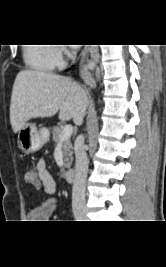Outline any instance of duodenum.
<instances>
[{
  "instance_id": "1",
  "label": "duodenum",
  "mask_w": 166,
  "mask_h": 267,
  "mask_svg": "<svg viewBox=\"0 0 166 267\" xmlns=\"http://www.w3.org/2000/svg\"><path fill=\"white\" fill-rule=\"evenodd\" d=\"M75 176H76V171L75 169L71 168V169H68L66 172H65V179L68 181V182H72L74 181L75 179Z\"/></svg>"
}]
</instances>
